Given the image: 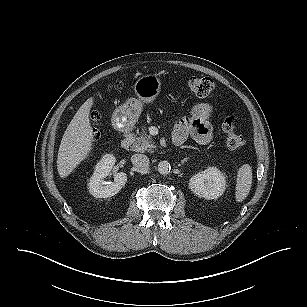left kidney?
Here are the masks:
<instances>
[{
	"instance_id": "left-kidney-1",
	"label": "left kidney",
	"mask_w": 307,
	"mask_h": 307,
	"mask_svg": "<svg viewBox=\"0 0 307 307\" xmlns=\"http://www.w3.org/2000/svg\"><path fill=\"white\" fill-rule=\"evenodd\" d=\"M189 187L199 197L217 199L225 191L226 177L216 167H208L191 177Z\"/></svg>"
}]
</instances>
